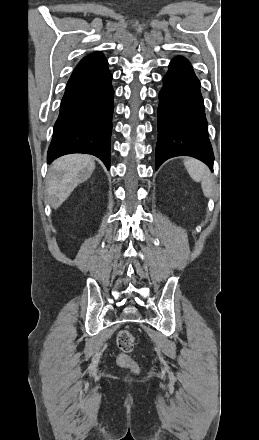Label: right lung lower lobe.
<instances>
[{"instance_id": "right-lung-lower-lobe-1", "label": "right lung lower lobe", "mask_w": 259, "mask_h": 440, "mask_svg": "<svg viewBox=\"0 0 259 440\" xmlns=\"http://www.w3.org/2000/svg\"><path fill=\"white\" fill-rule=\"evenodd\" d=\"M112 74L103 54L84 57L71 74L61 101L47 163L70 153L100 158L110 169Z\"/></svg>"}]
</instances>
